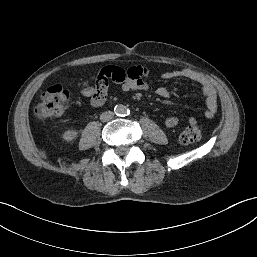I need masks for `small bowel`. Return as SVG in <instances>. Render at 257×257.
<instances>
[{
    "label": "small bowel",
    "mask_w": 257,
    "mask_h": 257,
    "mask_svg": "<svg viewBox=\"0 0 257 257\" xmlns=\"http://www.w3.org/2000/svg\"><path fill=\"white\" fill-rule=\"evenodd\" d=\"M98 76L104 77L107 81L112 80L125 92L131 90L148 91L150 89V85L146 80L148 71L142 66H131L124 69L119 66L109 65L103 67L98 73ZM162 78L165 80L181 78L196 83L205 99V116L207 118L215 117L218 109L217 92L212 83L204 75L192 69H176L165 71L162 74ZM107 92L108 86L104 89H99L96 85H87L79 90L81 96L90 99V105L94 108L100 107L105 103ZM154 92L162 98H168L170 96L169 89L164 86L155 88ZM188 122L191 125H195L197 120L191 116ZM164 123L167 127L173 128L178 125L179 119L174 115H169L165 118Z\"/></svg>",
    "instance_id": "small-bowel-1"
}]
</instances>
